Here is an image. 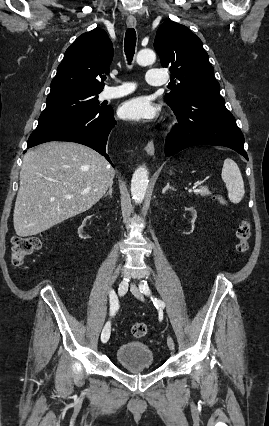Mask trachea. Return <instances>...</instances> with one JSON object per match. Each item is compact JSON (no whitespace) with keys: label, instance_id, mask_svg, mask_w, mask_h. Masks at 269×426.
Here are the masks:
<instances>
[{"label":"trachea","instance_id":"obj_1","mask_svg":"<svg viewBox=\"0 0 269 426\" xmlns=\"http://www.w3.org/2000/svg\"><path fill=\"white\" fill-rule=\"evenodd\" d=\"M136 46V32L133 28H129L125 34L124 40V51L128 63L130 64L133 60Z\"/></svg>","mask_w":269,"mask_h":426}]
</instances>
